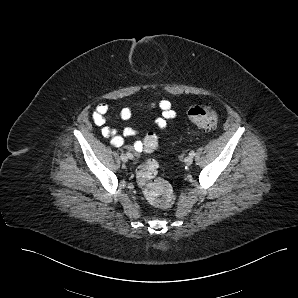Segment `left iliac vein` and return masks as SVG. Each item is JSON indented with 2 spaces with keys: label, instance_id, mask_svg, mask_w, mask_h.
Segmentation results:
<instances>
[{
  "label": "left iliac vein",
  "instance_id": "obj_1",
  "mask_svg": "<svg viewBox=\"0 0 298 298\" xmlns=\"http://www.w3.org/2000/svg\"><path fill=\"white\" fill-rule=\"evenodd\" d=\"M184 163H185L186 165H191V164L193 163V157H192V156H187V157H185V159H184Z\"/></svg>",
  "mask_w": 298,
  "mask_h": 298
}]
</instances>
